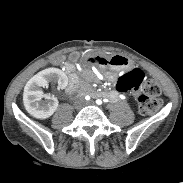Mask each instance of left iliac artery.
Instances as JSON below:
<instances>
[{"label":"left iliac artery","mask_w":183,"mask_h":183,"mask_svg":"<svg viewBox=\"0 0 183 183\" xmlns=\"http://www.w3.org/2000/svg\"><path fill=\"white\" fill-rule=\"evenodd\" d=\"M96 103H97L98 105H101V104H102V101H101L100 99H97V100H96Z\"/></svg>","instance_id":"1"}]
</instances>
